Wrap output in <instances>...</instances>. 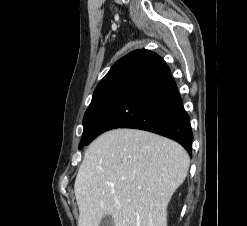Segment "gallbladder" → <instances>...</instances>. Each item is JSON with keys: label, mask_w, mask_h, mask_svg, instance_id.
I'll list each match as a JSON object with an SVG mask.
<instances>
[{"label": "gallbladder", "mask_w": 247, "mask_h": 226, "mask_svg": "<svg viewBox=\"0 0 247 226\" xmlns=\"http://www.w3.org/2000/svg\"><path fill=\"white\" fill-rule=\"evenodd\" d=\"M99 226H114V221H113L112 216L110 215L104 216Z\"/></svg>", "instance_id": "1"}]
</instances>
